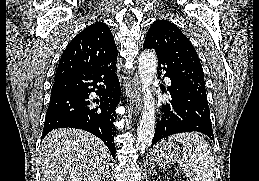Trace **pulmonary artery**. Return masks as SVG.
<instances>
[{
    "instance_id": "pulmonary-artery-1",
    "label": "pulmonary artery",
    "mask_w": 259,
    "mask_h": 181,
    "mask_svg": "<svg viewBox=\"0 0 259 181\" xmlns=\"http://www.w3.org/2000/svg\"><path fill=\"white\" fill-rule=\"evenodd\" d=\"M166 82H167V83H169V82H170L169 78H166Z\"/></svg>"
}]
</instances>
